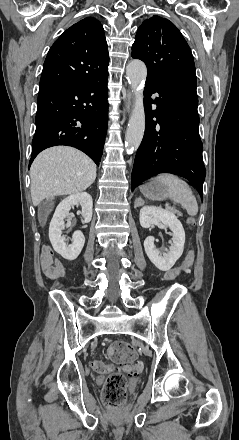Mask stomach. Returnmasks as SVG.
Listing matches in <instances>:
<instances>
[{"label":"stomach","instance_id":"0dacf381","mask_svg":"<svg viewBox=\"0 0 239 440\" xmlns=\"http://www.w3.org/2000/svg\"><path fill=\"white\" fill-rule=\"evenodd\" d=\"M140 190L143 196L148 198V200H158V202H161V200L170 198L168 186H165L162 182H158L157 178L141 186Z\"/></svg>","mask_w":239,"mask_h":440}]
</instances>
